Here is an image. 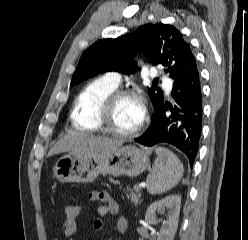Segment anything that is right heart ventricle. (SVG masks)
<instances>
[{
    "label": "right heart ventricle",
    "instance_id": "e07e8e85",
    "mask_svg": "<svg viewBox=\"0 0 248 240\" xmlns=\"http://www.w3.org/2000/svg\"><path fill=\"white\" fill-rule=\"evenodd\" d=\"M115 89L116 86L103 78H98L88 83L75 99L70 120L72 126L81 131L98 132V108L103 100Z\"/></svg>",
    "mask_w": 248,
    "mask_h": 240
}]
</instances>
